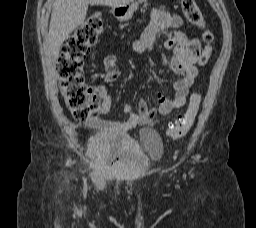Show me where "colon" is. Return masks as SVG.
<instances>
[{"label":"colon","instance_id":"obj_1","mask_svg":"<svg viewBox=\"0 0 256 228\" xmlns=\"http://www.w3.org/2000/svg\"><path fill=\"white\" fill-rule=\"evenodd\" d=\"M181 7L187 21L203 29V39L207 45L199 56L198 63L204 65L212 55L213 34L206 29L202 13L195 0H181ZM102 30L101 14L98 12L91 14L66 40L57 60L59 86L65 106L71 116L79 122L93 118L100 108L99 98L85 83L83 60L96 43ZM200 101L199 94L191 95L185 113L176 123L168 126V135L177 139L189 132L198 113Z\"/></svg>","mask_w":256,"mask_h":228}]
</instances>
